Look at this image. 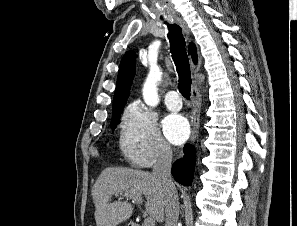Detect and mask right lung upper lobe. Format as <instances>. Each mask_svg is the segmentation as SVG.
I'll list each match as a JSON object with an SVG mask.
<instances>
[{
	"label": "right lung upper lobe",
	"instance_id": "right-lung-upper-lobe-1",
	"mask_svg": "<svg viewBox=\"0 0 297 226\" xmlns=\"http://www.w3.org/2000/svg\"><path fill=\"white\" fill-rule=\"evenodd\" d=\"M193 61L197 62L196 47L191 43L188 47ZM136 55L133 51H128L123 56L118 72L117 84L113 100V109L126 104L130 87L135 76Z\"/></svg>",
	"mask_w": 297,
	"mask_h": 226
}]
</instances>
